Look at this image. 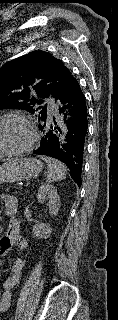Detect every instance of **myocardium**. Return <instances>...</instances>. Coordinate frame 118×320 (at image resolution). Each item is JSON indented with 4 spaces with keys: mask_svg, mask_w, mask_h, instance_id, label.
I'll use <instances>...</instances> for the list:
<instances>
[{
    "mask_svg": "<svg viewBox=\"0 0 118 320\" xmlns=\"http://www.w3.org/2000/svg\"><path fill=\"white\" fill-rule=\"evenodd\" d=\"M6 120H18L24 123L29 132V139L24 146L17 149L4 150L0 148V155H20L30 151L37 140V129L34 123L27 116L17 113L0 116V123Z\"/></svg>",
    "mask_w": 118,
    "mask_h": 320,
    "instance_id": "1",
    "label": "myocardium"
}]
</instances>
